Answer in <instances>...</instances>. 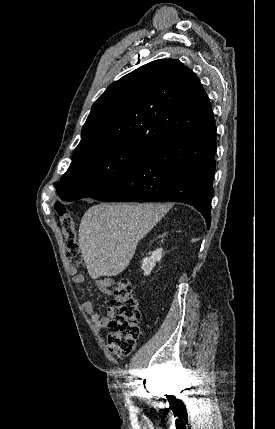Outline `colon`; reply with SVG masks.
Wrapping results in <instances>:
<instances>
[{
	"instance_id": "1",
	"label": "colon",
	"mask_w": 275,
	"mask_h": 429,
	"mask_svg": "<svg viewBox=\"0 0 275 429\" xmlns=\"http://www.w3.org/2000/svg\"><path fill=\"white\" fill-rule=\"evenodd\" d=\"M55 210L66 240L67 259L72 266L77 267L82 263V255L77 240L75 219L60 203L56 204ZM112 293L114 294L113 305L116 309V317L108 325L107 346L113 354L126 356L133 352L140 336L138 301L131 283L125 278L115 282Z\"/></svg>"
}]
</instances>
